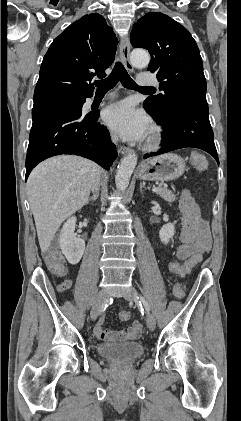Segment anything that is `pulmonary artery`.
<instances>
[{
    "label": "pulmonary artery",
    "mask_w": 241,
    "mask_h": 421,
    "mask_svg": "<svg viewBox=\"0 0 241 421\" xmlns=\"http://www.w3.org/2000/svg\"><path fill=\"white\" fill-rule=\"evenodd\" d=\"M138 84L141 86H153V85H158V81L155 77L141 76L138 79ZM109 97L111 96H108L107 98Z\"/></svg>",
    "instance_id": "obj_1"
}]
</instances>
